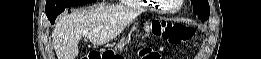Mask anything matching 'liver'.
<instances>
[{"mask_svg":"<svg viewBox=\"0 0 261 59\" xmlns=\"http://www.w3.org/2000/svg\"><path fill=\"white\" fill-rule=\"evenodd\" d=\"M133 16L114 7L98 5L59 18L53 33V44L58 59H76L82 36L92 43L103 45L116 38L132 21Z\"/></svg>","mask_w":261,"mask_h":59,"instance_id":"liver-1","label":"liver"}]
</instances>
